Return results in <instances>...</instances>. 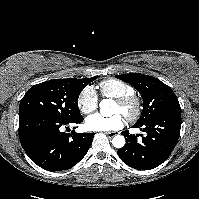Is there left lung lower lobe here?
I'll list each match as a JSON object with an SVG mask.
<instances>
[{"instance_id":"1","label":"left lung lower lobe","mask_w":199,"mask_h":199,"mask_svg":"<svg viewBox=\"0 0 199 199\" xmlns=\"http://www.w3.org/2000/svg\"><path fill=\"white\" fill-rule=\"evenodd\" d=\"M145 135L137 141L138 135L123 131L126 144L118 149L121 160L132 168L150 170L162 164L177 144L181 128V110H170L143 124H135Z\"/></svg>"}]
</instances>
